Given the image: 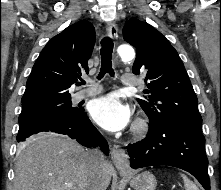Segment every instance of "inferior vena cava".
Masks as SVG:
<instances>
[{"label":"inferior vena cava","instance_id":"obj_1","mask_svg":"<svg viewBox=\"0 0 221 190\" xmlns=\"http://www.w3.org/2000/svg\"><path fill=\"white\" fill-rule=\"evenodd\" d=\"M88 162L92 170V178L89 181L88 190H102L101 175L105 165L104 154L99 149L88 152Z\"/></svg>","mask_w":221,"mask_h":190}]
</instances>
